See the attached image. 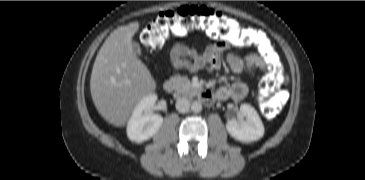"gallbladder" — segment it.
Listing matches in <instances>:
<instances>
[{
  "mask_svg": "<svg viewBox=\"0 0 365 180\" xmlns=\"http://www.w3.org/2000/svg\"><path fill=\"white\" fill-rule=\"evenodd\" d=\"M131 48H132V51H133L136 55H138V56H141V55H142L141 47H140V45H139L137 42L132 41V42H131Z\"/></svg>",
  "mask_w": 365,
  "mask_h": 180,
  "instance_id": "1",
  "label": "gallbladder"
}]
</instances>
